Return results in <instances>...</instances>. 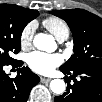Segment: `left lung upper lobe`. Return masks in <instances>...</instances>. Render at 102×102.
Listing matches in <instances>:
<instances>
[{
  "label": "left lung upper lobe",
  "mask_w": 102,
  "mask_h": 102,
  "mask_svg": "<svg viewBox=\"0 0 102 102\" xmlns=\"http://www.w3.org/2000/svg\"><path fill=\"white\" fill-rule=\"evenodd\" d=\"M53 15L65 20L74 40V54L60 69L102 68V19L86 10H53Z\"/></svg>",
  "instance_id": "1"
}]
</instances>
